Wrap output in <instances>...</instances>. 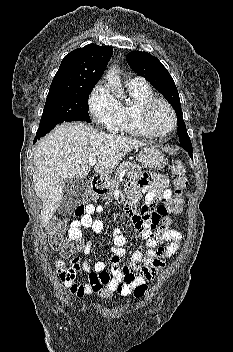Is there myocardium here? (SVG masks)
Segmentation results:
<instances>
[{
    "instance_id": "obj_1",
    "label": "myocardium",
    "mask_w": 233,
    "mask_h": 352,
    "mask_svg": "<svg viewBox=\"0 0 233 352\" xmlns=\"http://www.w3.org/2000/svg\"><path fill=\"white\" fill-rule=\"evenodd\" d=\"M156 105H162L164 106L168 112L171 115L172 119V125L169 129L164 130L162 132H156L152 129L151 124H150V115L153 110V108ZM138 122L141 127V129L145 132V134L148 137L151 138H161L166 136L167 134L171 133L172 131L175 130L176 125H177V118H176V113L172 106L164 99L153 97L147 101H145L138 110Z\"/></svg>"
}]
</instances>
